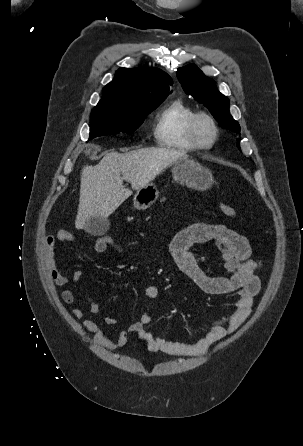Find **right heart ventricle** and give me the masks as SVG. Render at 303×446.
Returning <instances> with one entry per match:
<instances>
[{
    "label": "right heart ventricle",
    "instance_id": "1",
    "mask_svg": "<svg viewBox=\"0 0 303 446\" xmlns=\"http://www.w3.org/2000/svg\"><path fill=\"white\" fill-rule=\"evenodd\" d=\"M194 113L195 110L182 99L170 101L155 120L153 135L156 144L172 150H197L187 133L189 120Z\"/></svg>",
    "mask_w": 303,
    "mask_h": 446
}]
</instances>
